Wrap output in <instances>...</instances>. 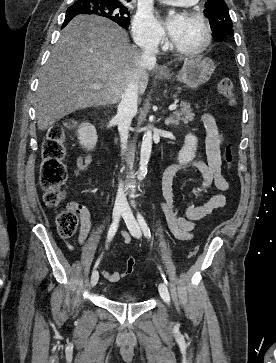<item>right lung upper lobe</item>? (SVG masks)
I'll return each mask as SVG.
<instances>
[{"label":"right lung upper lobe","mask_w":276,"mask_h":363,"mask_svg":"<svg viewBox=\"0 0 276 363\" xmlns=\"http://www.w3.org/2000/svg\"><path fill=\"white\" fill-rule=\"evenodd\" d=\"M106 1H114V2H123V1H129V0H106Z\"/></svg>","instance_id":"cb5924a9"}]
</instances>
